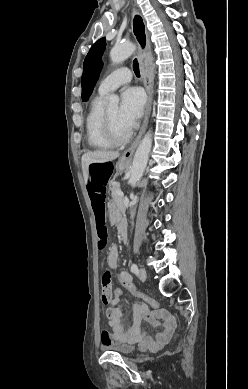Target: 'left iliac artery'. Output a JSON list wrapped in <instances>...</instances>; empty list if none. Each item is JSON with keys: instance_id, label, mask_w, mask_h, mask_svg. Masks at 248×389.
Returning a JSON list of instances; mask_svg holds the SVG:
<instances>
[{"instance_id": "obj_1", "label": "left iliac artery", "mask_w": 248, "mask_h": 389, "mask_svg": "<svg viewBox=\"0 0 248 389\" xmlns=\"http://www.w3.org/2000/svg\"><path fill=\"white\" fill-rule=\"evenodd\" d=\"M131 272H132V273H137V272H138V267H137L136 264H132V266H131Z\"/></svg>"}]
</instances>
